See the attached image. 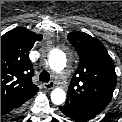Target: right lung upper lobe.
Segmentation results:
<instances>
[{
  "instance_id": "cb5924a9",
  "label": "right lung upper lobe",
  "mask_w": 122,
  "mask_h": 122,
  "mask_svg": "<svg viewBox=\"0 0 122 122\" xmlns=\"http://www.w3.org/2000/svg\"><path fill=\"white\" fill-rule=\"evenodd\" d=\"M41 40L42 35L22 27L1 36V105L21 106L38 92L32 82L34 72L28 53Z\"/></svg>"
}]
</instances>
